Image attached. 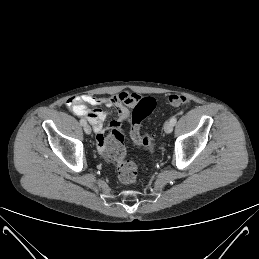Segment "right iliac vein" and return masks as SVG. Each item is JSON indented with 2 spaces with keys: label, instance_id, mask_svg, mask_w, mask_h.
<instances>
[{
  "label": "right iliac vein",
  "instance_id": "1",
  "mask_svg": "<svg viewBox=\"0 0 259 259\" xmlns=\"http://www.w3.org/2000/svg\"><path fill=\"white\" fill-rule=\"evenodd\" d=\"M84 131L86 134H91V127L88 124L84 125Z\"/></svg>",
  "mask_w": 259,
  "mask_h": 259
}]
</instances>
